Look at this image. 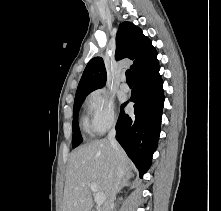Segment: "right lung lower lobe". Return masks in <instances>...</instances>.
<instances>
[{"instance_id": "obj_1", "label": "right lung lower lobe", "mask_w": 221, "mask_h": 211, "mask_svg": "<svg viewBox=\"0 0 221 211\" xmlns=\"http://www.w3.org/2000/svg\"><path fill=\"white\" fill-rule=\"evenodd\" d=\"M159 63L134 76L130 101L134 102V116L121 112L116 124V139L135 163L140 176L147 172L152 162L160 135L164 104L163 81Z\"/></svg>"}]
</instances>
